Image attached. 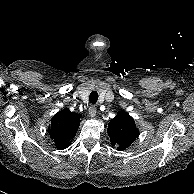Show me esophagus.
I'll use <instances>...</instances> for the list:
<instances>
[{"label": "esophagus", "mask_w": 194, "mask_h": 194, "mask_svg": "<svg viewBox=\"0 0 194 194\" xmlns=\"http://www.w3.org/2000/svg\"><path fill=\"white\" fill-rule=\"evenodd\" d=\"M88 112H89L90 117H95L97 109L94 105H91V106H89Z\"/></svg>", "instance_id": "obj_1"}]
</instances>
